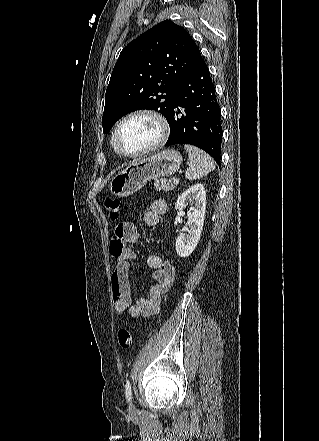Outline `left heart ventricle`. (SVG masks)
<instances>
[{
    "mask_svg": "<svg viewBox=\"0 0 319 441\" xmlns=\"http://www.w3.org/2000/svg\"><path fill=\"white\" fill-rule=\"evenodd\" d=\"M158 137L156 123L147 117H135L121 128L119 142L127 152H137L151 145Z\"/></svg>",
    "mask_w": 319,
    "mask_h": 441,
    "instance_id": "left-heart-ventricle-1",
    "label": "left heart ventricle"
}]
</instances>
